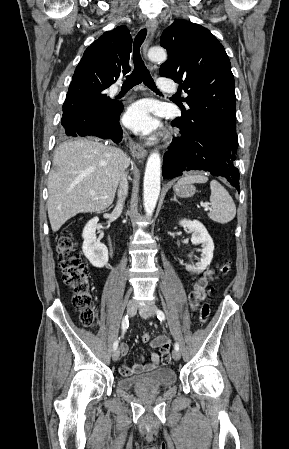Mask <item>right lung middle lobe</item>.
<instances>
[{"instance_id": "1", "label": "right lung middle lobe", "mask_w": 289, "mask_h": 449, "mask_svg": "<svg viewBox=\"0 0 289 449\" xmlns=\"http://www.w3.org/2000/svg\"><path fill=\"white\" fill-rule=\"evenodd\" d=\"M100 97H103L104 104H107L110 101V98L106 94H103L102 92L100 93Z\"/></svg>"}]
</instances>
